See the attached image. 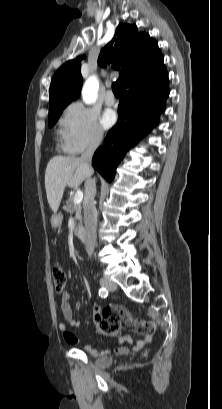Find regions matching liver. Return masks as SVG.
I'll use <instances>...</instances> for the list:
<instances>
[{
  "label": "liver",
  "instance_id": "1",
  "mask_svg": "<svg viewBox=\"0 0 222 409\" xmlns=\"http://www.w3.org/2000/svg\"><path fill=\"white\" fill-rule=\"evenodd\" d=\"M88 170L79 158L54 156L45 171V189L51 210L56 213L66 186L78 188L87 178Z\"/></svg>",
  "mask_w": 222,
  "mask_h": 409
}]
</instances>
